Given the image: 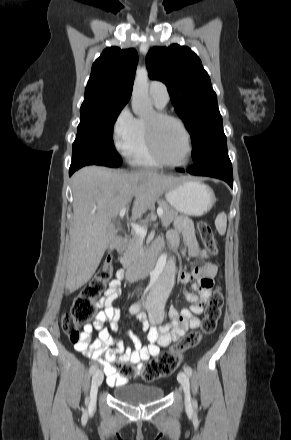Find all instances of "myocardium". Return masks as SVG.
<instances>
[{"label":"myocardium","mask_w":291,"mask_h":440,"mask_svg":"<svg viewBox=\"0 0 291 440\" xmlns=\"http://www.w3.org/2000/svg\"><path fill=\"white\" fill-rule=\"evenodd\" d=\"M166 120H170L175 122L183 131V133L185 134L186 137V143H187V154L185 157V160L182 162H169L166 159L163 158V156L161 155L159 148L157 146L156 143V138H155V131H156V126L158 123L166 121ZM144 127H145V133H146V139H147V143L150 149L151 154L153 155V157L163 166L166 167H171V168H181L186 166L192 156L193 153V145H192V138H191V134L188 130V128L186 127L185 123L177 116L171 115L169 113H166L164 111H155L153 114V120L152 121H147L144 120Z\"/></svg>","instance_id":"f54148a6"}]
</instances>
